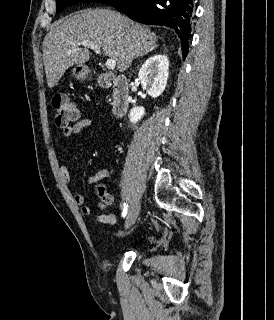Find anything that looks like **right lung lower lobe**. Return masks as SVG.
<instances>
[{
    "label": "right lung lower lobe",
    "mask_w": 274,
    "mask_h": 320,
    "mask_svg": "<svg viewBox=\"0 0 274 320\" xmlns=\"http://www.w3.org/2000/svg\"><path fill=\"white\" fill-rule=\"evenodd\" d=\"M108 4L134 21L173 28L181 40L183 58L186 57L194 0H111Z\"/></svg>",
    "instance_id": "right-lung-lower-lobe-1"
}]
</instances>
